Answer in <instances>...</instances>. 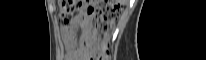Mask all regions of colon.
<instances>
[{
  "instance_id": "5ec220e1",
  "label": "colon",
  "mask_w": 206,
  "mask_h": 60,
  "mask_svg": "<svg viewBox=\"0 0 206 60\" xmlns=\"http://www.w3.org/2000/svg\"><path fill=\"white\" fill-rule=\"evenodd\" d=\"M121 11L122 7L117 0H98L88 7L84 6L83 1L62 0L59 18L63 24H70L82 12L88 15L97 14L96 34L83 42L80 53L87 60H108V40Z\"/></svg>"
}]
</instances>
